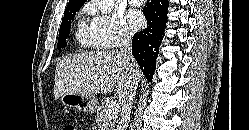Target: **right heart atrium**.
Segmentation results:
<instances>
[{"instance_id": "d8ad5b80", "label": "right heart atrium", "mask_w": 249, "mask_h": 130, "mask_svg": "<svg viewBox=\"0 0 249 130\" xmlns=\"http://www.w3.org/2000/svg\"><path fill=\"white\" fill-rule=\"evenodd\" d=\"M84 12L91 18L90 29L96 47L112 49L130 41L132 32L121 13L100 12L93 3L87 4Z\"/></svg>"}]
</instances>
